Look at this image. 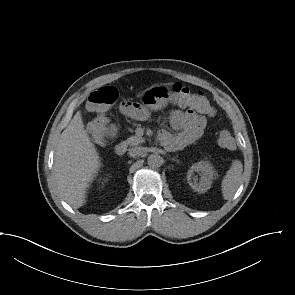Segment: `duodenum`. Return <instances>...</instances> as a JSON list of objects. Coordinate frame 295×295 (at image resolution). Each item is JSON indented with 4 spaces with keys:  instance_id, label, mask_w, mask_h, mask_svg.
<instances>
[{
    "instance_id": "obj_1",
    "label": "duodenum",
    "mask_w": 295,
    "mask_h": 295,
    "mask_svg": "<svg viewBox=\"0 0 295 295\" xmlns=\"http://www.w3.org/2000/svg\"><path fill=\"white\" fill-rule=\"evenodd\" d=\"M126 149H127L126 144L121 142L115 146L114 151L116 155L122 156L125 154Z\"/></svg>"
}]
</instances>
